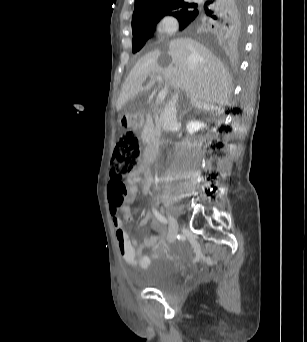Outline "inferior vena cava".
Segmentation results:
<instances>
[{"label":"inferior vena cava","instance_id":"inferior-vena-cava-1","mask_svg":"<svg viewBox=\"0 0 307 342\" xmlns=\"http://www.w3.org/2000/svg\"><path fill=\"white\" fill-rule=\"evenodd\" d=\"M178 98V94H174L160 114V122L163 130H171V128H174L177 124L176 106L178 104Z\"/></svg>","mask_w":307,"mask_h":342}]
</instances>
